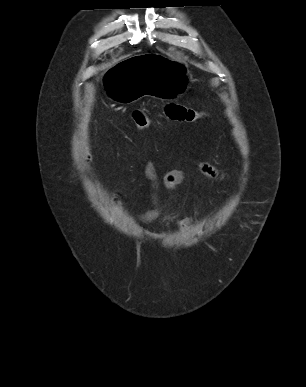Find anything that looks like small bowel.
Returning a JSON list of instances; mask_svg holds the SVG:
<instances>
[{
    "label": "small bowel",
    "instance_id": "obj_1",
    "mask_svg": "<svg viewBox=\"0 0 306 387\" xmlns=\"http://www.w3.org/2000/svg\"><path fill=\"white\" fill-rule=\"evenodd\" d=\"M199 173L202 177L206 179L221 180L224 178L223 173L208 162H201L199 164ZM144 174L147 180L151 184V188H152L151 198H152V203L154 205V208L143 213L140 216V219L144 222H151L157 219L159 215L157 205L159 201L158 188H159L160 181L162 182L163 186L169 191H177L178 188L185 181V173L181 170H170L166 172L160 179L157 172L156 164L153 162H149L146 164L144 168ZM118 201H119V196L116 195L114 198L115 205L118 204ZM193 219H194L193 217L181 219L177 222V225L181 230H185L190 226Z\"/></svg>",
    "mask_w": 306,
    "mask_h": 387
}]
</instances>
